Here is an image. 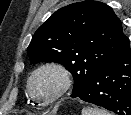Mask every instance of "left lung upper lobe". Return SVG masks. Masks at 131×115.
Instances as JSON below:
<instances>
[{
	"label": "left lung upper lobe",
	"instance_id": "5c2ea615",
	"mask_svg": "<svg viewBox=\"0 0 131 115\" xmlns=\"http://www.w3.org/2000/svg\"><path fill=\"white\" fill-rule=\"evenodd\" d=\"M128 44L119 18L108 5L83 1L52 14L33 35L27 54L32 63L64 65L74 77V98Z\"/></svg>",
	"mask_w": 131,
	"mask_h": 115
}]
</instances>
